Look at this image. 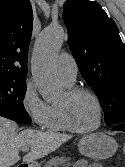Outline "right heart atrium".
Listing matches in <instances>:
<instances>
[{"label": "right heart atrium", "mask_w": 125, "mask_h": 167, "mask_svg": "<svg viewBox=\"0 0 125 167\" xmlns=\"http://www.w3.org/2000/svg\"><path fill=\"white\" fill-rule=\"evenodd\" d=\"M21 106L35 127H46L50 118L51 106L41 98L32 81L25 85Z\"/></svg>", "instance_id": "1"}]
</instances>
